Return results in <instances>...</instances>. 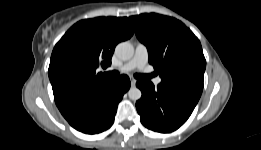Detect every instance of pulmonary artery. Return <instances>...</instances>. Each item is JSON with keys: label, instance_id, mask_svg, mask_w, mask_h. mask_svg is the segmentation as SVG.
Here are the masks:
<instances>
[{"label": "pulmonary artery", "instance_id": "obj_1", "mask_svg": "<svg viewBox=\"0 0 261 150\" xmlns=\"http://www.w3.org/2000/svg\"><path fill=\"white\" fill-rule=\"evenodd\" d=\"M149 59L148 49L144 44L139 43L136 46L134 56L119 69L122 71H131L135 68L144 69ZM161 83V77L154 79V84L158 85Z\"/></svg>", "mask_w": 261, "mask_h": 150}]
</instances>
